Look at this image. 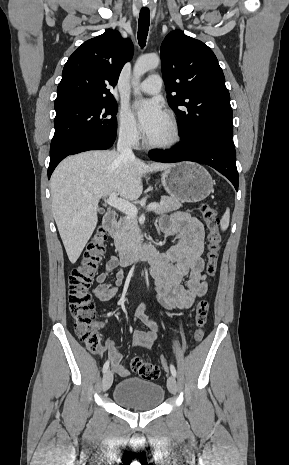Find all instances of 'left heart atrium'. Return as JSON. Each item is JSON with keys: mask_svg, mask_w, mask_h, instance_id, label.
Segmentation results:
<instances>
[{"mask_svg": "<svg viewBox=\"0 0 289 465\" xmlns=\"http://www.w3.org/2000/svg\"><path fill=\"white\" fill-rule=\"evenodd\" d=\"M135 110L140 127L147 137L156 132L166 118L161 103L155 99L138 102Z\"/></svg>", "mask_w": 289, "mask_h": 465, "instance_id": "1", "label": "left heart atrium"}]
</instances>
